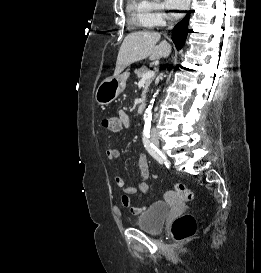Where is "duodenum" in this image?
Returning <instances> with one entry per match:
<instances>
[{
  "label": "duodenum",
  "mask_w": 261,
  "mask_h": 273,
  "mask_svg": "<svg viewBox=\"0 0 261 273\" xmlns=\"http://www.w3.org/2000/svg\"><path fill=\"white\" fill-rule=\"evenodd\" d=\"M146 109H147V104L145 102H142V103L139 104V106H138V112L140 114L145 113Z\"/></svg>",
  "instance_id": "duodenum-1"
}]
</instances>
